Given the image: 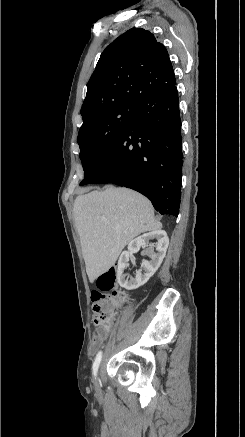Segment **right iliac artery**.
<instances>
[{
	"label": "right iliac artery",
	"mask_w": 245,
	"mask_h": 437,
	"mask_svg": "<svg viewBox=\"0 0 245 437\" xmlns=\"http://www.w3.org/2000/svg\"><path fill=\"white\" fill-rule=\"evenodd\" d=\"M101 358H102V352L99 351L96 358H95V361L93 363V367H92L94 377H96V375H97V371H98V368H99V365L101 362Z\"/></svg>",
	"instance_id": "obj_1"
}]
</instances>
